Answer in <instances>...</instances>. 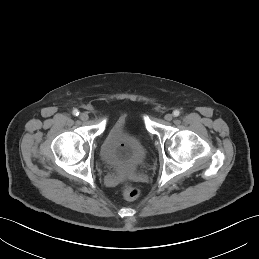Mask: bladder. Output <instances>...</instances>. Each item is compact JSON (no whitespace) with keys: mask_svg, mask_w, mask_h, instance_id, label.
<instances>
[{"mask_svg":"<svg viewBox=\"0 0 259 259\" xmlns=\"http://www.w3.org/2000/svg\"><path fill=\"white\" fill-rule=\"evenodd\" d=\"M100 157L105 166L133 174L145 161L141 141L126 131V120L118 117L108 128L100 146Z\"/></svg>","mask_w":259,"mask_h":259,"instance_id":"31cf9c89","label":"bladder"}]
</instances>
